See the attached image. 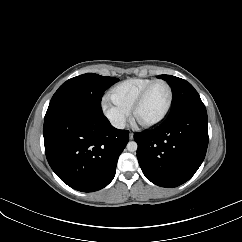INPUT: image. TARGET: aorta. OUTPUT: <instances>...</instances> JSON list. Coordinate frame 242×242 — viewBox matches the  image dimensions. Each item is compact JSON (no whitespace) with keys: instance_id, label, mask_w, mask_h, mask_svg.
<instances>
[{"instance_id":"762f6f07","label":"aorta","mask_w":242,"mask_h":242,"mask_svg":"<svg viewBox=\"0 0 242 242\" xmlns=\"http://www.w3.org/2000/svg\"><path fill=\"white\" fill-rule=\"evenodd\" d=\"M127 150L130 151V152H134L137 150L138 148V145L135 141H130L127 143Z\"/></svg>"}]
</instances>
